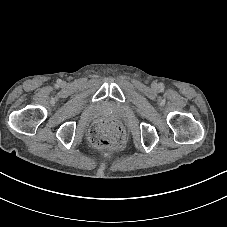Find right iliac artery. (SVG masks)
Listing matches in <instances>:
<instances>
[{
    "label": "right iliac artery",
    "mask_w": 227,
    "mask_h": 227,
    "mask_svg": "<svg viewBox=\"0 0 227 227\" xmlns=\"http://www.w3.org/2000/svg\"><path fill=\"white\" fill-rule=\"evenodd\" d=\"M57 82H58V83H61L62 81H61V80H58Z\"/></svg>",
    "instance_id": "82829eb1"
}]
</instances>
